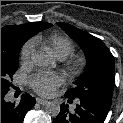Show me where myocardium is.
<instances>
[{"label": "myocardium", "instance_id": "myocardium-1", "mask_svg": "<svg viewBox=\"0 0 123 123\" xmlns=\"http://www.w3.org/2000/svg\"><path fill=\"white\" fill-rule=\"evenodd\" d=\"M69 67L74 72H79L81 69V62L79 60H72L69 63Z\"/></svg>", "mask_w": 123, "mask_h": 123}]
</instances>
